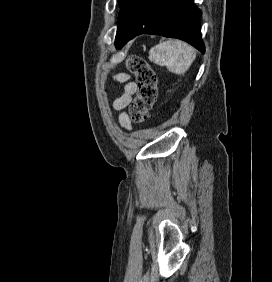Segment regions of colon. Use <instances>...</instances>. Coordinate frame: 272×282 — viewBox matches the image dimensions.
I'll return each instance as SVG.
<instances>
[{
    "label": "colon",
    "instance_id": "colon-1",
    "mask_svg": "<svg viewBox=\"0 0 272 282\" xmlns=\"http://www.w3.org/2000/svg\"><path fill=\"white\" fill-rule=\"evenodd\" d=\"M127 69L136 77L137 91L130 104V119L137 123L147 121L158 96L156 71L141 57L131 56Z\"/></svg>",
    "mask_w": 272,
    "mask_h": 282
}]
</instances>
